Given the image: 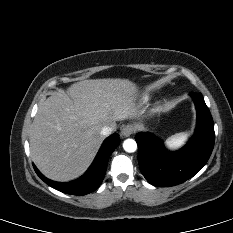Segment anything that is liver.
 Wrapping results in <instances>:
<instances>
[{
	"mask_svg": "<svg viewBox=\"0 0 233 233\" xmlns=\"http://www.w3.org/2000/svg\"><path fill=\"white\" fill-rule=\"evenodd\" d=\"M138 88L128 79L84 80L39 107L30 134L31 158L49 179L67 182L92 163L104 126L135 118Z\"/></svg>",
	"mask_w": 233,
	"mask_h": 233,
	"instance_id": "6515ba94",
	"label": "liver"
}]
</instances>
